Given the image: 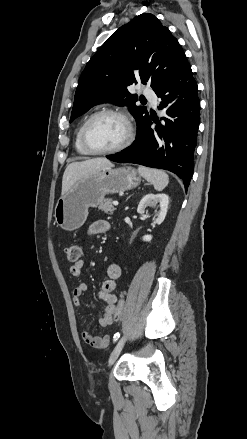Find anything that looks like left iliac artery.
Listing matches in <instances>:
<instances>
[{
    "label": "left iliac artery",
    "mask_w": 247,
    "mask_h": 439,
    "mask_svg": "<svg viewBox=\"0 0 247 439\" xmlns=\"http://www.w3.org/2000/svg\"><path fill=\"white\" fill-rule=\"evenodd\" d=\"M119 337H120V333L118 332V333H116L115 335H114V342H116L118 339H119Z\"/></svg>",
    "instance_id": "1"
}]
</instances>
